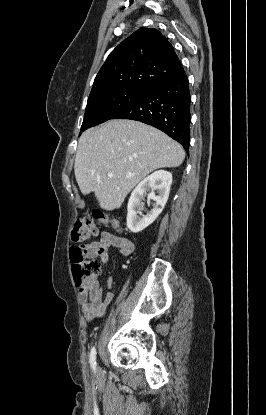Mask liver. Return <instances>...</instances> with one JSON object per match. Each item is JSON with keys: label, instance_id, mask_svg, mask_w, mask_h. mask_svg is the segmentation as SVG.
I'll return each mask as SVG.
<instances>
[{"label": "liver", "instance_id": "6515ba94", "mask_svg": "<svg viewBox=\"0 0 266 415\" xmlns=\"http://www.w3.org/2000/svg\"><path fill=\"white\" fill-rule=\"evenodd\" d=\"M184 158L182 146L160 130L138 121L110 120L80 136L74 172L82 194L94 192L99 206L110 211L120 208L152 171L178 167Z\"/></svg>", "mask_w": 266, "mask_h": 415}]
</instances>
